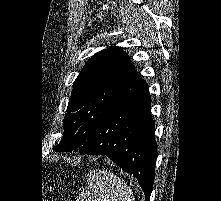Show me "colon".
I'll use <instances>...</instances> for the list:
<instances>
[{"label":"colon","instance_id":"5ec220e1","mask_svg":"<svg viewBox=\"0 0 221 201\" xmlns=\"http://www.w3.org/2000/svg\"><path fill=\"white\" fill-rule=\"evenodd\" d=\"M51 201H55L54 199H50Z\"/></svg>","mask_w":221,"mask_h":201}]
</instances>
